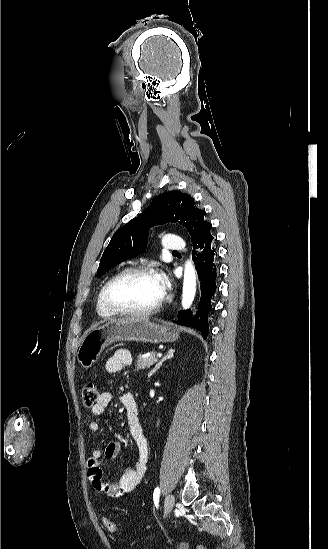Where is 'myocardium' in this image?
I'll return each mask as SVG.
<instances>
[{
	"instance_id": "1",
	"label": "myocardium",
	"mask_w": 328,
	"mask_h": 549,
	"mask_svg": "<svg viewBox=\"0 0 328 549\" xmlns=\"http://www.w3.org/2000/svg\"><path fill=\"white\" fill-rule=\"evenodd\" d=\"M154 267H164V265L157 260H145L140 262H135L123 267L117 274H115L103 287L102 290V300L104 304V310L107 314L113 317L118 316H150L156 313L162 306L165 295L155 302L151 307L146 309H116L112 306V301L110 299V291L112 287L123 277L128 274L135 272H151L157 274V271L153 269Z\"/></svg>"
}]
</instances>
